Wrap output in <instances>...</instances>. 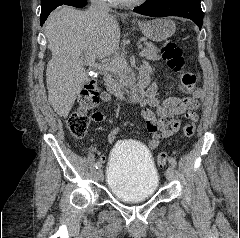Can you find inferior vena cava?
<instances>
[{"instance_id":"1","label":"inferior vena cava","mask_w":240,"mask_h":238,"mask_svg":"<svg viewBox=\"0 0 240 238\" xmlns=\"http://www.w3.org/2000/svg\"><path fill=\"white\" fill-rule=\"evenodd\" d=\"M89 12L94 15H104L110 12L107 0H91Z\"/></svg>"}]
</instances>
